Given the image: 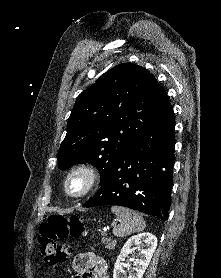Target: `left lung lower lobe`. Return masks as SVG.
Returning a JSON list of instances; mask_svg holds the SVG:
<instances>
[{"mask_svg":"<svg viewBox=\"0 0 221 278\" xmlns=\"http://www.w3.org/2000/svg\"><path fill=\"white\" fill-rule=\"evenodd\" d=\"M175 120L171 107L117 157L84 207L120 205L168 219L174 166Z\"/></svg>","mask_w":221,"mask_h":278,"instance_id":"obj_1","label":"left lung lower lobe"}]
</instances>
